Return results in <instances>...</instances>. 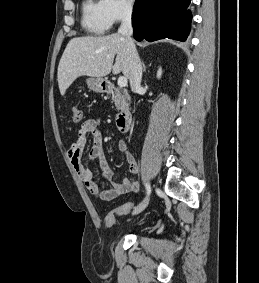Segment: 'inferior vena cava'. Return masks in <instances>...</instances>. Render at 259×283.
<instances>
[{"label":"inferior vena cava","instance_id":"inferior-vena-cava-1","mask_svg":"<svg viewBox=\"0 0 259 283\" xmlns=\"http://www.w3.org/2000/svg\"><path fill=\"white\" fill-rule=\"evenodd\" d=\"M132 8L126 6L122 12V22L118 33L125 38L128 46L129 60H130V87L134 93H137L141 88L142 66L139 55L137 53L133 39V28L131 24Z\"/></svg>","mask_w":259,"mask_h":283}]
</instances>
